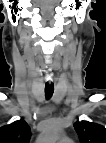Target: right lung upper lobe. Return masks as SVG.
Listing matches in <instances>:
<instances>
[{
    "instance_id": "obj_1",
    "label": "right lung upper lobe",
    "mask_w": 106,
    "mask_h": 143,
    "mask_svg": "<svg viewBox=\"0 0 106 143\" xmlns=\"http://www.w3.org/2000/svg\"><path fill=\"white\" fill-rule=\"evenodd\" d=\"M30 127L24 119L0 128V143H29Z\"/></svg>"
}]
</instances>
